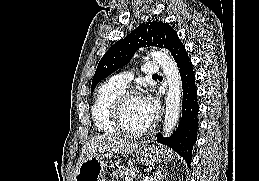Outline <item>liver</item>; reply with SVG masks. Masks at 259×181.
I'll return each mask as SVG.
<instances>
[{"label":"liver","instance_id":"obj_1","mask_svg":"<svg viewBox=\"0 0 259 181\" xmlns=\"http://www.w3.org/2000/svg\"><path fill=\"white\" fill-rule=\"evenodd\" d=\"M139 147L138 142H129L113 135H98L89 140L82 150L78 164L87 156L96 153L130 154Z\"/></svg>","mask_w":259,"mask_h":181}]
</instances>
